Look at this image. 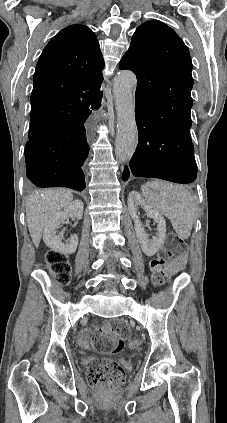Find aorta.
<instances>
[{"instance_id":"1","label":"aorta","mask_w":227,"mask_h":423,"mask_svg":"<svg viewBox=\"0 0 227 423\" xmlns=\"http://www.w3.org/2000/svg\"><path fill=\"white\" fill-rule=\"evenodd\" d=\"M136 85L135 74L128 70L119 72L113 85L117 111L115 154L123 162L131 159L138 143L134 96Z\"/></svg>"}]
</instances>
